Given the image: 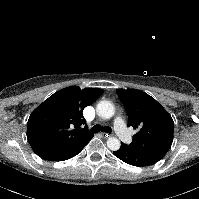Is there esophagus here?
I'll return each instance as SVG.
<instances>
[{
	"label": "esophagus",
	"instance_id": "obj_1",
	"mask_svg": "<svg viewBox=\"0 0 199 199\" xmlns=\"http://www.w3.org/2000/svg\"><path fill=\"white\" fill-rule=\"evenodd\" d=\"M101 135H102L103 137H105V138H108V137L111 136V134H108V133H105V132L101 133Z\"/></svg>",
	"mask_w": 199,
	"mask_h": 199
}]
</instances>
